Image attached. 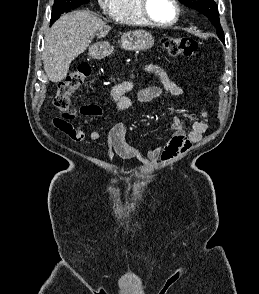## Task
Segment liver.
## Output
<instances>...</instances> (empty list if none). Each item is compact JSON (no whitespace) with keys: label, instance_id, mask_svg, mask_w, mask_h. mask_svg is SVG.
<instances>
[{"label":"liver","instance_id":"1","mask_svg":"<svg viewBox=\"0 0 259 294\" xmlns=\"http://www.w3.org/2000/svg\"><path fill=\"white\" fill-rule=\"evenodd\" d=\"M111 27L87 10L61 16L45 36L43 64L50 81L58 83L68 73L70 63L83 53L91 39L105 36Z\"/></svg>","mask_w":259,"mask_h":294}]
</instances>
